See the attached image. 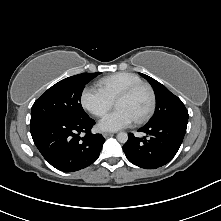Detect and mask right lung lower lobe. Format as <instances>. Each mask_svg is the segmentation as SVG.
<instances>
[{"label":"right lung lower lobe","instance_id":"98d812e1","mask_svg":"<svg viewBox=\"0 0 221 221\" xmlns=\"http://www.w3.org/2000/svg\"><path fill=\"white\" fill-rule=\"evenodd\" d=\"M95 121L88 115L83 118L44 117L30 121L33 141L53 167L73 172L92 164L105 141L100 134H92ZM81 133H86L81 137Z\"/></svg>","mask_w":221,"mask_h":221}]
</instances>
